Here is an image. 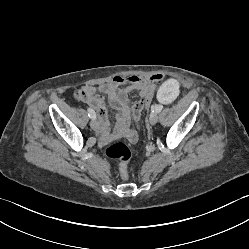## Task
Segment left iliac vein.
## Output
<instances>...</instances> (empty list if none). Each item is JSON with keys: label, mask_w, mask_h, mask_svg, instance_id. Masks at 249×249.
<instances>
[{"label": "left iliac vein", "mask_w": 249, "mask_h": 249, "mask_svg": "<svg viewBox=\"0 0 249 249\" xmlns=\"http://www.w3.org/2000/svg\"><path fill=\"white\" fill-rule=\"evenodd\" d=\"M149 122L151 125H155L158 122V113L152 112L150 114Z\"/></svg>", "instance_id": "4c4485c4"}]
</instances>
